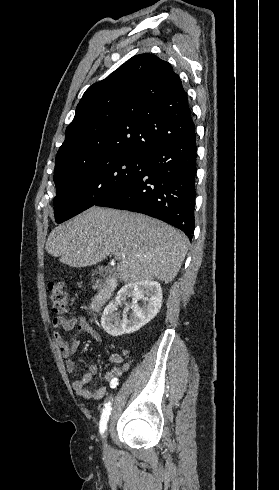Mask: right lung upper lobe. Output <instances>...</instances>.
Segmentation results:
<instances>
[{"instance_id":"1","label":"right lung upper lobe","mask_w":279,"mask_h":490,"mask_svg":"<svg viewBox=\"0 0 279 490\" xmlns=\"http://www.w3.org/2000/svg\"><path fill=\"white\" fill-rule=\"evenodd\" d=\"M194 132L187 94L171 65L153 54L135 55L84 93L54 177L106 155L147 158Z\"/></svg>"}]
</instances>
